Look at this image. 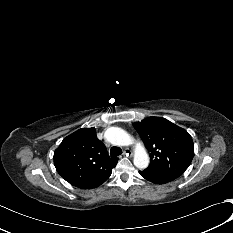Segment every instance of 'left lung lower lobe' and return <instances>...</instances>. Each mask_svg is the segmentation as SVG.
Segmentation results:
<instances>
[{"label":"left lung lower lobe","instance_id":"left-lung-lower-lobe-1","mask_svg":"<svg viewBox=\"0 0 233 233\" xmlns=\"http://www.w3.org/2000/svg\"><path fill=\"white\" fill-rule=\"evenodd\" d=\"M140 175L142 177H144L145 179H147L148 181L152 182V183H155V184H165L166 182H164L163 180L159 179V178H156L144 171H139Z\"/></svg>","mask_w":233,"mask_h":233}]
</instances>
